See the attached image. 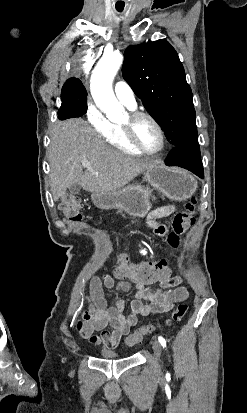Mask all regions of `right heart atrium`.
Instances as JSON below:
<instances>
[{
	"mask_svg": "<svg viewBox=\"0 0 247 413\" xmlns=\"http://www.w3.org/2000/svg\"><path fill=\"white\" fill-rule=\"evenodd\" d=\"M103 113V105H91L89 110L85 111V118L92 119V123L96 133H107L109 131L110 121L109 119H105Z\"/></svg>",
	"mask_w": 247,
	"mask_h": 413,
	"instance_id": "obj_1",
	"label": "right heart atrium"
}]
</instances>
